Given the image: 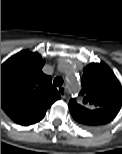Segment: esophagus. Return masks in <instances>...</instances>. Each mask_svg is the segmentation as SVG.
<instances>
[{"label":"esophagus","mask_w":122,"mask_h":154,"mask_svg":"<svg viewBox=\"0 0 122 154\" xmlns=\"http://www.w3.org/2000/svg\"><path fill=\"white\" fill-rule=\"evenodd\" d=\"M58 92L62 98L66 97V88L64 86L58 88Z\"/></svg>","instance_id":"esophagus-1"}]
</instances>
